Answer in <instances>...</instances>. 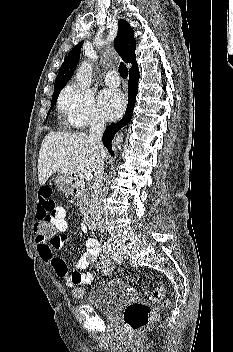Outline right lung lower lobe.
<instances>
[{
  "mask_svg": "<svg viewBox=\"0 0 233 352\" xmlns=\"http://www.w3.org/2000/svg\"><path fill=\"white\" fill-rule=\"evenodd\" d=\"M139 77H140L139 70L129 74L128 105H127L125 115L119 122L107 127L103 133V138H102L103 144L105 145V147L108 149V151L111 153L112 156L114 155V153L112 151L111 142L115 133L118 130H120L122 127L127 125L132 118L133 109L136 102V94L138 90Z\"/></svg>",
  "mask_w": 233,
  "mask_h": 352,
  "instance_id": "98d812e1",
  "label": "right lung lower lobe"
}]
</instances>
